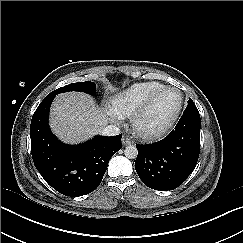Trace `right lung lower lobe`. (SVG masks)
<instances>
[{
  "instance_id": "98d812e1",
  "label": "right lung lower lobe",
  "mask_w": 243,
  "mask_h": 243,
  "mask_svg": "<svg viewBox=\"0 0 243 243\" xmlns=\"http://www.w3.org/2000/svg\"><path fill=\"white\" fill-rule=\"evenodd\" d=\"M55 96L48 94L32 117L33 162L44 180L61 194L86 195L100 185L110 158L122 148V135L96 136L76 146L63 144L48 125L49 109Z\"/></svg>"
}]
</instances>
